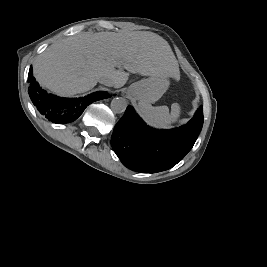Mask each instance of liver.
Segmentation results:
<instances>
[{"label": "liver", "mask_w": 267, "mask_h": 267, "mask_svg": "<svg viewBox=\"0 0 267 267\" xmlns=\"http://www.w3.org/2000/svg\"><path fill=\"white\" fill-rule=\"evenodd\" d=\"M119 68V69H116ZM177 78L176 57L161 36L150 31L82 32L51 44L35 60L33 73L43 87L60 96L91 90L101 77L121 88L129 73Z\"/></svg>", "instance_id": "6515ba94"}]
</instances>
